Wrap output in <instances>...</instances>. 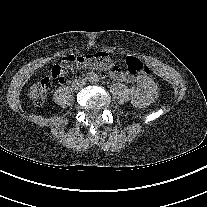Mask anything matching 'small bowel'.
Masks as SVG:
<instances>
[{
    "label": "small bowel",
    "instance_id": "1",
    "mask_svg": "<svg viewBox=\"0 0 207 207\" xmlns=\"http://www.w3.org/2000/svg\"><path fill=\"white\" fill-rule=\"evenodd\" d=\"M107 69L111 78L117 82L130 83L133 81L132 76L123 72L118 66L114 65L109 68H95ZM58 83L64 84L67 80L65 76L57 78ZM137 86L129 89L128 94L134 105L138 107H146L152 104L157 97V86L155 82L149 77H142L136 80Z\"/></svg>",
    "mask_w": 207,
    "mask_h": 207
}]
</instances>
